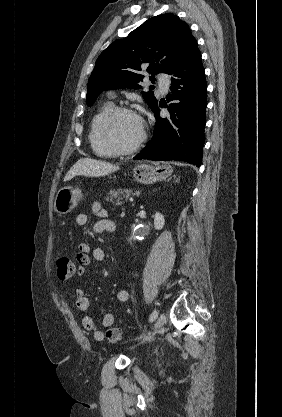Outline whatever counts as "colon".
I'll return each mask as SVG.
<instances>
[{
	"mask_svg": "<svg viewBox=\"0 0 282 417\" xmlns=\"http://www.w3.org/2000/svg\"><path fill=\"white\" fill-rule=\"evenodd\" d=\"M58 277L60 279H69L75 274H79L82 271L83 266H73V260L68 256H60L57 261ZM123 333L118 329H110L106 331L105 342L106 344H117L118 339H121Z\"/></svg>",
	"mask_w": 282,
	"mask_h": 417,
	"instance_id": "obj_1",
	"label": "colon"
}]
</instances>
